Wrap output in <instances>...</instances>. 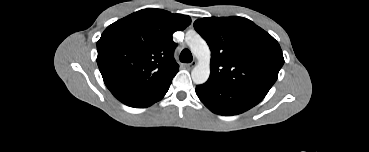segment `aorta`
I'll use <instances>...</instances> for the list:
<instances>
[{"mask_svg": "<svg viewBox=\"0 0 369 152\" xmlns=\"http://www.w3.org/2000/svg\"><path fill=\"white\" fill-rule=\"evenodd\" d=\"M190 51L198 59V64L191 72L192 80L195 84L205 83L210 75L211 52L206 41L199 35H194L187 42Z\"/></svg>", "mask_w": 369, "mask_h": 152, "instance_id": "1", "label": "aorta"}]
</instances>
